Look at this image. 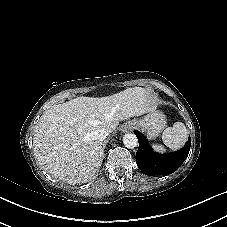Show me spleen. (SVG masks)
Instances as JSON below:
<instances>
[{"instance_id": "3e777b00", "label": "spleen", "mask_w": 227, "mask_h": 227, "mask_svg": "<svg viewBox=\"0 0 227 227\" xmlns=\"http://www.w3.org/2000/svg\"><path fill=\"white\" fill-rule=\"evenodd\" d=\"M188 137V130L182 122H175L172 127H168L162 133L163 143L172 150L180 149L186 142ZM154 151L164 153L166 149L164 146L153 143Z\"/></svg>"}]
</instances>
